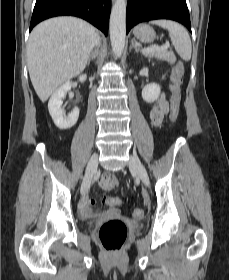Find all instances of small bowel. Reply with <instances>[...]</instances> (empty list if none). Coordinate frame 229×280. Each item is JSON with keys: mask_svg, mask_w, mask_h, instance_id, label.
<instances>
[{"mask_svg": "<svg viewBox=\"0 0 229 280\" xmlns=\"http://www.w3.org/2000/svg\"><path fill=\"white\" fill-rule=\"evenodd\" d=\"M168 111H169V104L166 101L164 95L161 94L158 97L157 101L152 105L150 110V121L152 125L159 126L164 116L168 113ZM81 193L82 196L77 207V212L80 217L88 218L94 214L105 215V216L120 215L119 206L115 204V200L119 199L118 197H104V203L108 206V208L104 211L97 210L96 212H94L93 203L88 197L89 191L86 190Z\"/></svg>", "mask_w": 229, "mask_h": 280, "instance_id": "small-bowel-1", "label": "small bowel"}]
</instances>
